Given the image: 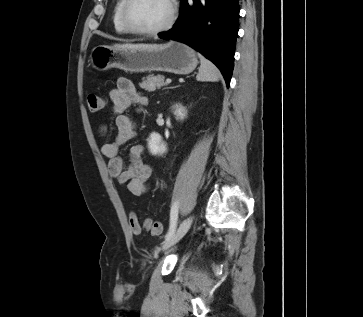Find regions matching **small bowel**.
<instances>
[{
  "instance_id": "c3829d8e",
  "label": "small bowel",
  "mask_w": 363,
  "mask_h": 317,
  "mask_svg": "<svg viewBox=\"0 0 363 317\" xmlns=\"http://www.w3.org/2000/svg\"><path fill=\"white\" fill-rule=\"evenodd\" d=\"M109 97L117 117L113 140L103 144L102 152L109 159L110 176L115 178L120 185L125 186L130 193L139 196L147 191L148 181L152 174V167L144 161L145 147L134 145L130 148L128 165L120 156V148L136 135L134 121L123 112L132 105L144 106L147 100L126 78H120L117 81L116 87L110 91ZM99 130L102 136H108L110 133L109 127L105 124H102Z\"/></svg>"
}]
</instances>
